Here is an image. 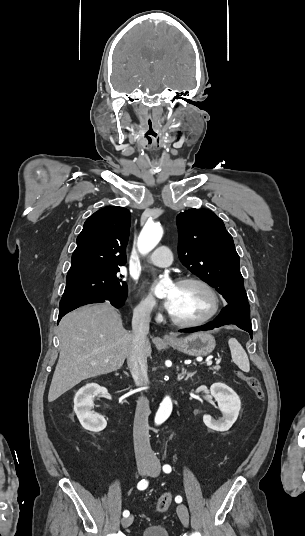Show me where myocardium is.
Listing matches in <instances>:
<instances>
[{"label": "myocardium", "instance_id": "obj_1", "mask_svg": "<svg viewBox=\"0 0 305 536\" xmlns=\"http://www.w3.org/2000/svg\"><path fill=\"white\" fill-rule=\"evenodd\" d=\"M187 284H199V285L205 287L206 289H208L212 293V295H213V297L215 299V307H214L213 311L208 316H206L205 318H202V319H197V320L186 319V318L180 317V316L174 314L169 309L168 310V315H169L170 319L174 323H176L178 325L186 326V327H199V326H203V325H206V324L210 323L211 321H213L221 313V311L223 309L224 302H223V298H222L221 293L219 292V290L213 284H211L207 280H205L203 278H200V277H196V276L183 277L177 283V285H187Z\"/></svg>", "mask_w": 305, "mask_h": 536}]
</instances>
